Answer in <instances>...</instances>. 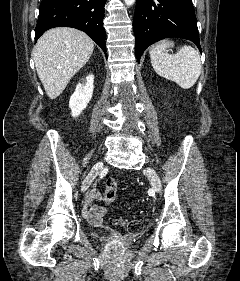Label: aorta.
<instances>
[{"label": "aorta", "instance_id": "aorta-1", "mask_svg": "<svg viewBox=\"0 0 240 281\" xmlns=\"http://www.w3.org/2000/svg\"><path fill=\"white\" fill-rule=\"evenodd\" d=\"M124 2L127 6H131L135 3V0H124Z\"/></svg>", "mask_w": 240, "mask_h": 281}]
</instances>
